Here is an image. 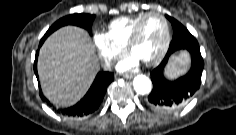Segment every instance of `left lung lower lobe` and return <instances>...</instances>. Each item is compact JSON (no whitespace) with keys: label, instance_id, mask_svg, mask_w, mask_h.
<instances>
[{"label":"left lung lower lobe","instance_id":"left-lung-lower-lobe-1","mask_svg":"<svg viewBox=\"0 0 236 135\" xmlns=\"http://www.w3.org/2000/svg\"><path fill=\"white\" fill-rule=\"evenodd\" d=\"M174 34L168 52L151 73L153 89L148 96V105L161 113H169L186 104L200 88L204 67L203 58L197 40L177 20L169 18ZM178 50H187L191 55V69L175 81L167 80L163 71L171 54Z\"/></svg>","mask_w":236,"mask_h":135}]
</instances>
